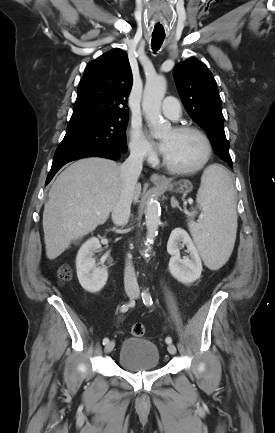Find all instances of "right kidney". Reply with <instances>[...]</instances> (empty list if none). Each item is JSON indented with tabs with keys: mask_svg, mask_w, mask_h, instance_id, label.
I'll list each match as a JSON object with an SVG mask.
<instances>
[{
	"mask_svg": "<svg viewBox=\"0 0 275 433\" xmlns=\"http://www.w3.org/2000/svg\"><path fill=\"white\" fill-rule=\"evenodd\" d=\"M101 248L99 239L92 237L79 249L76 257L77 277L81 286L89 292L96 293L106 284L108 271L97 268L93 255Z\"/></svg>",
	"mask_w": 275,
	"mask_h": 433,
	"instance_id": "obj_1",
	"label": "right kidney"
}]
</instances>
